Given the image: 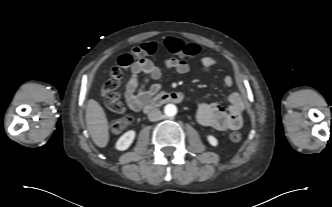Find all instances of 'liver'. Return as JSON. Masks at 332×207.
<instances>
[{
	"instance_id": "6515ba94",
	"label": "liver",
	"mask_w": 332,
	"mask_h": 207,
	"mask_svg": "<svg viewBox=\"0 0 332 207\" xmlns=\"http://www.w3.org/2000/svg\"><path fill=\"white\" fill-rule=\"evenodd\" d=\"M86 125L93 142L100 148L105 147L109 141V125L104 109L94 99L87 102Z\"/></svg>"
}]
</instances>
